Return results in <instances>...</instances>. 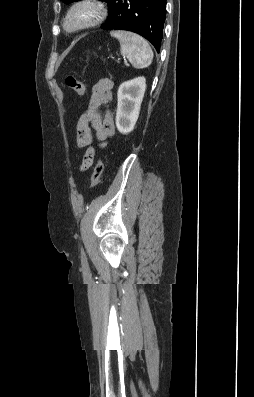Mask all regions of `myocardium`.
<instances>
[{"mask_svg": "<svg viewBox=\"0 0 254 397\" xmlns=\"http://www.w3.org/2000/svg\"><path fill=\"white\" fill-rule=\"evenodd\" d=\"M107 17L105 6L97 0H79L67 10L62 20V28L72 34L101 24Z\"/></svg>", "mask_w": 254, "mask_h": 397, "instance_id": "1", "label": "myocardium"}]
</instances>
